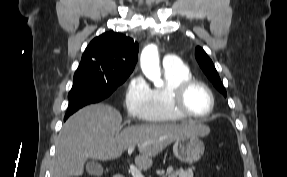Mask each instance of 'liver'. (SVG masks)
<instances>
[{
	"label": "liver",
	"mask_w": 287,
	"mask_h": 177,
	"mask_svg": "<svg viewBox=\"0 0 287 177\" xmlns=\"http://www.w3.org/2000/svg\"><path fill=\"white\" fill-rule=\"evenodd\" d=\"M119 111L107 104L84 107L63 125L56 143L53 177L82 176L88 158L113 160L129 147L138 146L135 164L142 170L152 166V157L178 138L205 136L210 128L197 122L141 124L122 129Z\"/></svg>",
	"instance_id": "1"
}]
</instances>
